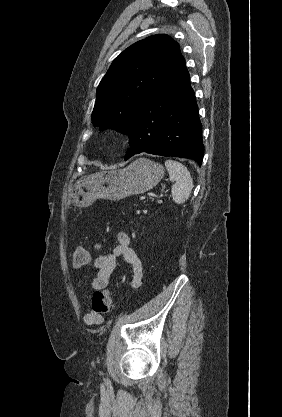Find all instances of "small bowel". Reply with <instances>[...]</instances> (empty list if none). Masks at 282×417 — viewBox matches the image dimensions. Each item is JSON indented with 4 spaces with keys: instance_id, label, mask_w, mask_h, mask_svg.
Returning <instances> with one entry per match:
<instances>
[{
    "instance_id": "c3829d8e",
    "label": "small bowel",
    "mask_w": 282,
    "mask_h": 417,
    "mask_svg": "<svg viewBox=\"0 0 282 417\" xmlns=\"http://www.w3.org/2000/svg\"><path fill=\"white\" fill-rule=\"evenodd\" d=\"M116 239L117 244L111 252L101 254L93 260H90L92 268L96 270V274L91 282L92 288L96 291H101L107 287L109 278L120 258H123L132 268L131 288L137 289L142 284L144 276L143 264L135 250L130 246L129 235L125 231H118L116 233ZM94 247L96 250H100L101 244L96 242ZM84 322L89 326L100 325L103 322V316L93 311H88L84 315Z\"/></svg>"
}]
</instances>
